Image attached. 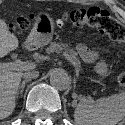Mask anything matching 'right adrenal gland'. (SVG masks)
I'll use <instances>...</instances> for the list:
<instances>
[{
    "label": "right adrenal gland",
    "mask_w": 125,
    "mask_h": 125,
    "mask_svg": "<svg viewBox=\"0 0 125 125\" xmlns=\"http://www.w3.org/2000/svg\"><path fill=\"white\" fill-rule=\"evenodd\" d=\"M30 80H23L22 81V83L19 85V87H18V90H17V96L20 94H22L23 93V91H24V88H25V85H26V83L27 82H29Z\"/></svg>",
    "instance_id": "right-adrenal-gland-1"
}]
</instances>
